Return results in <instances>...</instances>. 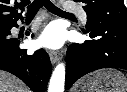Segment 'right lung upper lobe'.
I'll return each mask as SVG.
<instances>
[{
	"instance_id": "cb5924a9",
	"label": "right lung upper lobe",
	"mask_w": 127,
	"mask_h": 92,
	"mask_svg": "<svg viewBox=\"0 0 127 92\" xmlns=\"http://www.w3.org/2000/svg\"><path fill=\"white\" fill-rule=\"evenodd\" d=\"M12 0H0V26L16 22L18 19H23L21 13L17 9L23 10L26 5L30 3L29 0H21L11 4Z\"/></svg>"
}]
</instances>
